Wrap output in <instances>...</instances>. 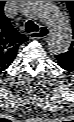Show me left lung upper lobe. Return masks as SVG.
<instances>
[{"label": "left lung upper lobe", "instance_id": "left-lung-upper-lobe-1", "mask_svg": "<svg viewBox=\"0 0 74 122\" xmlns=\"http://www.w3.org/2000/svg\"><path fill=\"white\" fill-rule=\"evenodd\" d=\"M67 6L71 12L72 28H73V33H74V1H67ZM55 57L61 58L64 61L74 64V35H73V41H72V44H71L69 50L63 54L56 55Z\"/></svg>", "mask_w": 74, "mask_h": 122}]
</instances>
